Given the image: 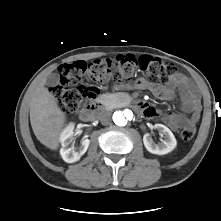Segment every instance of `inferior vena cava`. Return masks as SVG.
I'll return each instance as SVG.
<instances>
[{
  "label": "inferior vena cava",
  "instance_id": "602c4592",
  "mask_svg": "<svg viewBox=\"0 0 221 221\" xmlns=\"http://www.w3.org/2000/svg\"><path fill=\"white\" fill-rule=\"evenodd\" d=\"M98 119L100 120V122L103 124V125H107L110 123L111 121V113L109 111H101L99 114H98Z\"/></svg>",
  "mask_w": 221,
  "mask_h": 221
}]
</instances>
